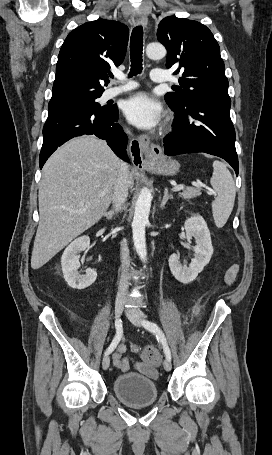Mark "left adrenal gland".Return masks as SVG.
I'll list each match as a JSON object with an SVG mask.
<instances>
[{"instance_id":"left-adrenal-gland-1","label":"left adrenal gland","mask_w":272,"mask_h":455,"mask_svg":"<svg viewBox=\"0 0 272 455\" xmlns=\"http://www.w3.org/2000/svg\"><path fill=\"white\" fill-rule=\"evenodd\" d=\"M172 198H173V196L168 194V189L166 188L165 191H164V195H163L162 201L160 203V208L163 209L165 207L166 202L169 199H172Z\"/></svg>"}]
</instances>
